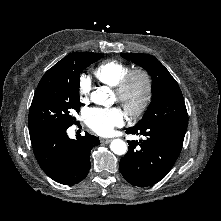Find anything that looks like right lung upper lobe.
<instances>
[{"label":"right lung upper lobe","mask_w":221,"mask_h":221,"mask_svg":"<svg viewBox=\"0 0 221 221\" xmlns=\"http://www.w3.org/2000/svg\"><path fill=\"white\" fill-rule=\"evenodd\" d=\"M78 53V52H77ZM76 53H71V54H69V55H67V56H72V55H75ZM61 61V60H60Z\"/></svg>","instance_id":"cb5924a9"}]
</instances>
